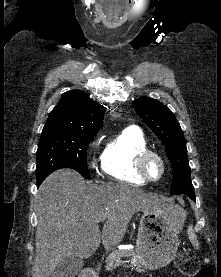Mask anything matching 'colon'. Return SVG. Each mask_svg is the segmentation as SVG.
Listing matches in <instances>:
<instances>
[{
	"label": "colon",
	"instance_id": "colon-1",
	"mask_svg": "<svg viewBox=\"0 0 221 277\" xmlns=\"http://www.w3.org/2000/svg\"><path fill=\"white\" fill-rule=\"evenodd\" d=\"M175 266L182 275L187 277H214L213 269L201 267L198 258L189 253H178Z\"/></svg>",
	"mask_w": 221,
	"mask_h": 277
}]
</instances>
